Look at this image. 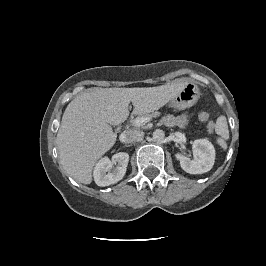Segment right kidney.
I'll use <instances>...</instances> for the list:
<instances>
[{"instance_id":"right-kidney-1","label":"right kidney","mask_w":266,"mask_h":266,"mask_svg":"<svg viewBox=\"0 0 266 266\" xmlns=\"http://www.w3.org/2000/svg\"><path fill=\"white\" fill-rule=\"evenodd\" d=\"M128 161L129 155L125 152L114 154L111 160L107 157L102 158L93 172L95 183L102 187L117 183L124 177Z\"/></svg>"}]
</instances>
